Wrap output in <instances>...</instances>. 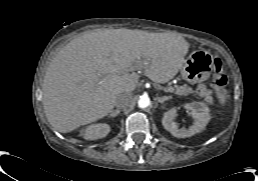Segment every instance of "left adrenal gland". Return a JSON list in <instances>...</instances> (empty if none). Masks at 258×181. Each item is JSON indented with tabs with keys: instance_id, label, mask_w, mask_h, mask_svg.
I'll return each instance as SVG.
<instances>
[{
	"instance_id": "obj_1",
	"label": "left adrenal gland",
	"mask_w": 258,
	"mask_h": 181,
	"mask_svg": "<svg viewBox=\"0 0 258 181\" xmlns=\"http://www.w3.org/2000/svg\"><path fill=\"white\" fill-rule=\"evenodd\" d=\"M171 98L172 96H164V97H157L156 99L159 103H164L166 100H169Z\"/></svg>"
}]
</instances>
